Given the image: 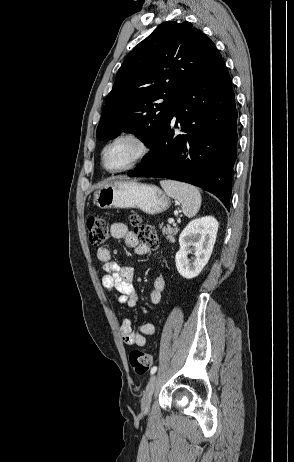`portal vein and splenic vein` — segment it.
Returning <instances> with one entry per match:
<instances>
[{"mask_svg":"<svg viewBox=\"0 0 294 462\" xmlns=\"http://www.w3.org/2000/svg\"><path fill=\"white\" fill-rule=\"evenodd\" d=\"M168 222L171 223V224H174V219L170 218V219H168Z\"/></svg>","mask_w":294,"mask_h":462,"instance_id":"portal-vein-and-splenic-vein-1","label":"portal vein and splenic vein"}]
</instances>
